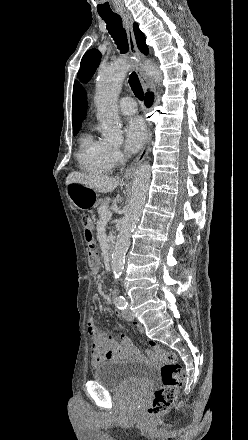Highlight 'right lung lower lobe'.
Segmentation results:
<instances>
[{"instance_id": "1", "label": "right lung lower lobe", "mask_w": 248, "mask_h": 440, "mask_svg": "<svg viewBox=\"0 0 248 440\" xmlns=\"http://www.w3.org/2000/svg\"><path fill=\"white\" fill-rule=\"evenodd\" d=\"M152 103H153V93L147 92L146 98H145V104L147 107H149V106H151Z\"/></svg>"}]
</instances>
